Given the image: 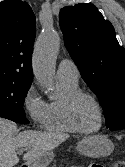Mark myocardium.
Masks as SVG:
<instances>
[{
	"instance_id": "f54148a6",
	"label": "myocardium",
	"mask_w": 125,
	"mask_h": 167,
	"mask_svg": "<svg viewBox=\"0 0 125 167\" xmlns=\"http://www.w3.org/2000/svg\"><path fill=\"white\" fill-rule=\"evenodd\" d=\"M83 98H87L91 100L95 104L98 110L99 124L95 129H92V130L83 129L82 127L79 126L76 120V116H75L76 107L79 101ZM65 111H66L67 119L70 125L75 129L76 132L83 133V134H94V133H97L103 126L104 115H103V109H102L101 103L94 95L88 92L79 90L73 93L72 95H70L66 100Z\"/></svg>"
}]
</instances>
